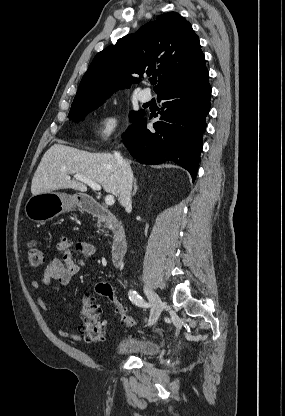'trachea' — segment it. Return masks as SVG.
I'll return each instance as SVG.
<instances>
[{
    "mask_svg": "<svg viewBox=\"0 0 285 416\" xmlns=\"http://www.w3.org/2000/svg\"><path fill=\"white\" fill-rule=\"evenodd\" d=\"M150 83H151L152 85H156V83H157V78H156V77L151 78V79H150Z\"/></svg>",
    "mask_w": 285,
    "mask_h": 416,
    "instance_id": "trachea-1",
    "label": "trachea"
}]
</instances>
